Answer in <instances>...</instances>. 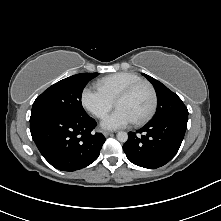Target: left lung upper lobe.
Returning <instances> with one entry per match:
<instances>
[{
	"instance_id": "1",
	"label": "left lung upper lobe",
	"mask_w": 221,
	"mask_h": 221,
	"mask_svg": "<svg viewBox=\"0 0 221 221\" xmlns=\"http://www.w3.org/2000/svg\"><path fill=\"white\" fill-rule=\"evenodd\" d=\"M143 75L154 86L158 99L156 114L150 122H157L164 118L176 115H188V110L178 95L173 93L158 80L149 75Z\"/></svg>"
}]
</instances>
